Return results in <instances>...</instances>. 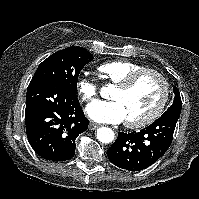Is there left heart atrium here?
I'll list each match as a JSON object with an SVG mask.
<instances>
[{"label":"left heart atrium","instance_id":"1","mask_svg":"<svg viewBox=\"0 0 199 199\" xmlns=\"http://www.w3.org/2000/svg\"><path fill=\"white\" fill-rule=\"evenodd\" d=\"M87 115L99 123H120L126 119V113L119 101H95L86 108Z\"/></svg>","mask_w":199,"mask_h":199}]
</instances>
